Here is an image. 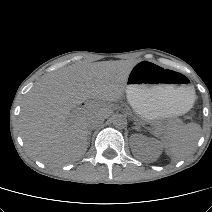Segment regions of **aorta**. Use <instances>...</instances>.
<instances>
[{"label":"aorta","instance_id":"obj_1","mask_svg":"<svg viewBox=\"0 0 212 212\" xmlns=\"http://www.w3.org/2000/svg\"><path fill=\"white\" fill-rule=\"evenodd\" d=\"M112 123L116 128H124L127 125V119L121 114H116L112 118Z\"/></svg>","mask_w":212,"mask_h":212}]
</instances>
